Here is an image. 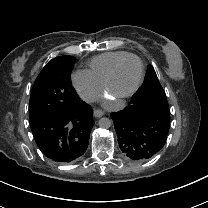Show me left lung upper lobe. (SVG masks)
<instances>
[{
  "label": "left lung upper lobe",
  "mask_w": 208,
  "mask_h": 208,
  "mask_svg": "<svg viewBox=\"0 0 208 208\" xmlns=\"http://www.w3.org/2000/svg\"><path fill=\"white\" fill-rule=\"evenodd\" d=\"M131 104L154 107L169 113L166 94L152 66H149L145 85L132 96Z\"/></svg>",
  "instance_id": "left-lung-upper-lobe-1"
}]
</instances>
